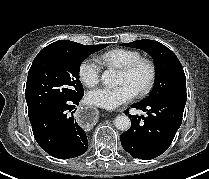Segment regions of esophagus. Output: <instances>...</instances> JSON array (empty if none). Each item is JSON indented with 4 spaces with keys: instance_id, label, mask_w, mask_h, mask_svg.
I'll return each instance as SVG.
<instances>
[{
    "instance_id": "1",
    "label": "esophagus",
    "mask_w": 209,
    "mask_h": 179,
    "mask_svg": "<svg viewBox=\"0 0 209 179\" xmlns=\"http://www.w3.org/2000/svg\"><path fill=\"white\" fill-rule=\"evenodd\" d=\"M75 119L81 127L89 128L97 122L98 114L92 106H81L76 111Z\"/></svg>"
}]
</instances>
